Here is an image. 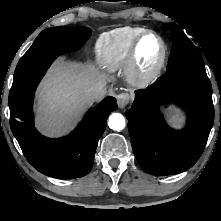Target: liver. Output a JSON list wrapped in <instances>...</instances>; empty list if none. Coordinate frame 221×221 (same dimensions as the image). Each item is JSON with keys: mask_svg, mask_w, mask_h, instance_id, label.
<instances>
[{"mask_svg": "<svg viewBox=\"0 0 221 221\" xmlns=\"http://www.w3.org/2000/svg\"><path fill=\"white\" fill-rule=\"evenodd\" d=\"M100 80L107 82L111 78L92 64L56 61L37 92L38 129L49 137L68 132L89 102L85 89Z\"/></svg>", "mask_w": 221, "mask_h": 221, "instance_id": "liver-1", "label": "liver"}]
</instances>
